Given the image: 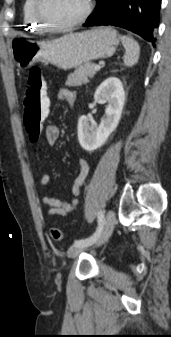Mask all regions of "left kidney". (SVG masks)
<instances>
[{"instance_id": "obj_1", "label": "left kidney", "mask_w": 171, "mask_h": 337, "mask_svg": "<svg viewBox=\"0 0 171 337\" xmlns=\"http://www.w3.org/2000/svg\"><path fill=\"white\" fill-rule=\"evenodd\" d=\"M94 100L108 105L105 117L98 127L94 126L92 120L85 115L78 120V140L86 151H93L104 145L118 126L125 103L122 82L116 77H109L95 91Z\"/></svg>"}]
</instances>
